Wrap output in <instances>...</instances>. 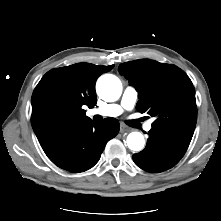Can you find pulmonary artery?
<instances>
[{"label":"pulmonary artery","mask_w":221,"mask_h":221,"mask_svg":"<svg viewBox=\"0 0 221 221\" xmlns=\"http://www.w3.org/2000/svg\"><path fill=\"white\" fill-rule=\"evenodd\" d=\"M138 99V92L133 86H127L123 92L120 104H107L99 108L93 109L92 114H99L102 116L116 117L120 115L123 110H131ZM151 123L145 125V130H151Z\"/></svg>","instance_id":"pulmonary-artery-1"}]
</instances>
